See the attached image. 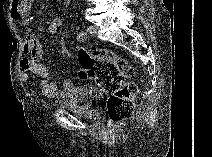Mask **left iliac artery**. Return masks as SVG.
Wrapping results in <instances>:
<instances>
[{
	"label": "left iliac artery",
	"instance_id": "left-iliac-artery-1",
	"mask_svg": "<svg viewBox=\"0 0 212 157\" xmlns=\"http://www.w3.org/2000/svg\"><path fill=\"white\" fill-rule=\"evenodd\" d=\"M86 38V34L84 32H80L78 35H77V39L79 41H84Z\"/></svg>",
	"mask_w": 212,
	"mask_h": 157
}]
</instances>
